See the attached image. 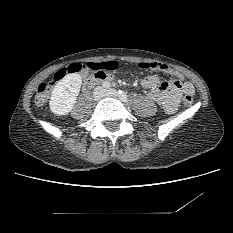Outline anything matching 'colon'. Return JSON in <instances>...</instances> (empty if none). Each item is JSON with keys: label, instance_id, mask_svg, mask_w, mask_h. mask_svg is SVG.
<instances>
[{"label": "colon", "instance_id": "5ec220e1", "mask_svg": "<svg viewBox=\"0 0 233 233\" xmlns=\"http://www.w3.org/2000/svg\"><path fill=\"white\" fill-rule=\"evenodd\" d=\"M141 69H150L154 71H160L173 74V70L165 63L160 61L153 62H141L138 64ZM82 70V65L79 63H73L66 67H63L56 71L52 77V80L47 83H42L38 86L35 94V102L37 104H43L49 98L51 88L58 82L62 81L67 75L75 74ZM193 98L190 94H185L182 98V105L184 108L189 109L192 106Z\"/></svg>", "mask_w": 233, "mask_h": 233}]
</instances>
